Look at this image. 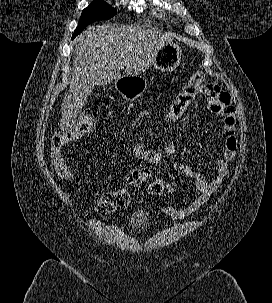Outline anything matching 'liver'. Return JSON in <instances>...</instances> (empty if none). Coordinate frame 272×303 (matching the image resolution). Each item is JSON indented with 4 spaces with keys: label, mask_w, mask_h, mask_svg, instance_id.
I'll return each instance as SVG.
<instances>
[{
    "label": "liver",
    "mask_w": 272,
    "mask_h": 303,
    "mask_svg": "<svg viewBox=\"0 0 272 303\" xmlns=\"http://www.w3.org/2000/svg\"><path fill=\"white\" fill-rule=\"evenodd\" d=\"M172 40L169 34L119 23L84 30L74 40L72 79L62 102L61 130H78V115L94 86L120 80L123 68L127 77H136L150 67L161 47Z\"/></svg>",
    "instance_id": "liver-1"
}]
</instances>
